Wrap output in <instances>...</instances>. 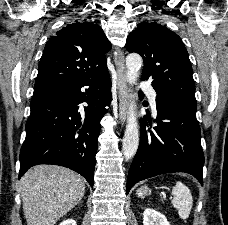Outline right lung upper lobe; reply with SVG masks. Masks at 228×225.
<instances>
[{"mask_svg": "<svg viewBox=\"0 0 228 225\" xmlns=\"http://www.w3.org/2000/svg\"><path fill=\"white\" fill-rule=\"evenodd\" d=\"M111 43L102 28L89 21H75L46 43L34 89L63 88L89 81L108 70L106 52Z\"/></svg>", "mask_w": 228, "mask_h": 225, "instance_id": "1", "label": "right lung upper lobe"}]
</instances>
